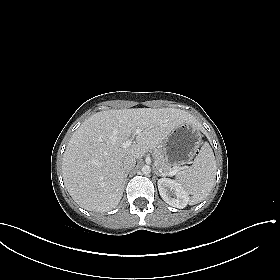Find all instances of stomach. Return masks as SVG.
Listing matches in <instances>:
<instances>
[{"instance_id":"0dacf381","label":"stomach","mask_w":280,"mask_h":280,"mask_svg":"<svg viewBox=\"0 0 280 280\" xmlns=\"http://www.w3.org/2000/svg\"><path fill=\"white\" fill-rule=\"evenodd\" d=\"M202 134L197 126L183 123L176 127L162 143L166 160L172 166L190 162L201 144Z\"/></svg>"}]
</instances>
